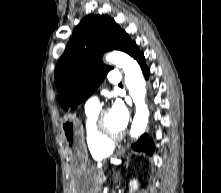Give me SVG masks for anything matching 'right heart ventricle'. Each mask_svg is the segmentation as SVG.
I'll return each mask as SVG.
<instances>
[{
    "mask_svg": "<svg viewBox=\"0 0 221 193\" xmlns=\"http://www.w3.org/2000/svg\"><path fill=\"white\" fill-rule=\"evenodd\" d=\"M97 115L98 111L86 112L84 134L90 155L93 158H104L111 154L113 145L103 142L98 136L95 129Z\"/></svg>",
    "mask_w": 221,
    "mask_h": 193,
    "instance_id": "right-heart-ventricle-1",
    "label": "right heart ventricle"
}]
</instances>
